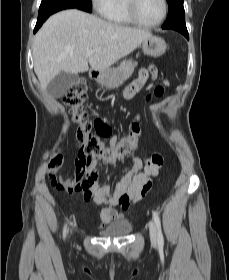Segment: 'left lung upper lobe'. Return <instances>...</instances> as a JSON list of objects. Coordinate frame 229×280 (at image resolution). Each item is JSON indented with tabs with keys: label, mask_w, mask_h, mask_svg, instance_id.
Masks as SVG:
<instances>
[{
	"label": "left lung upper lobe",
	"mask_w": 229,
	"mask_h": 280,
	"mask_svg": "<svg viewBox=\"0 0 229 280\" xmlns=\"http://www.w3.org/2000/svg\"><path fill=\"white\" fill-rule=\"evenodd\" d=\"M184 0H167L169 9L168 17L164 29H169L177 25H185V11L183 7Z\"/></svg>",
	"instance_id": "1"
}]
</instances>
